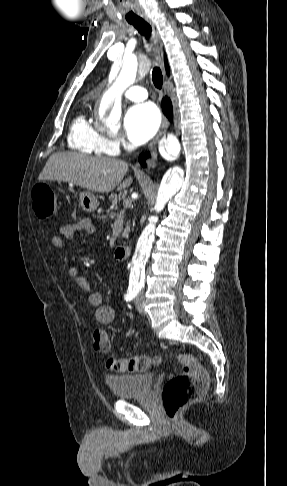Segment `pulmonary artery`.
Masks as SVG:
<instances>
[{"mask_svg": "<svg viewBox=\"0 0 287 486\" xmlns=\"http://www.w3.org/2000/svg\"><path fill=\"white\" fill-rule=\"evenodd\" d=\"M124 96L135 102L143 101L147 98L148 94L145 88L141 86H131L124 92Z\"/></svg>", "mask_w": 287, "mask_h": 486, "instance_id": "pulmonary-artery-1", "label": "pulmonary artery"}]
</instances>
